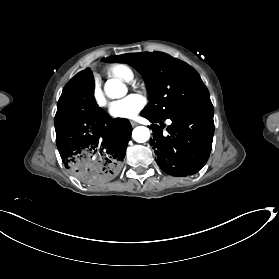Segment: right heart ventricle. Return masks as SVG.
I'll return each instance as SVG.
<instances>
[{"mask_svg":"<svg viewBox=\"0 0 279 279\" xmlns=\"http://www.w3.org/2000/svg\"><path fill=\"white\" fill-rule=\"evenodd\" d=\"M104 72L113 79L122 82H131L134 78L132 69L125 64H111L105 68Z\"/></svg>","mask_w":279,"mask_h":279,"instance_id":"1","label":"right heart ventricle"}]
</instances>
